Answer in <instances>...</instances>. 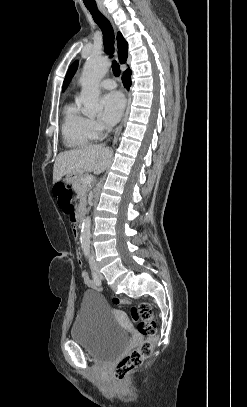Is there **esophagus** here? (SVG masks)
I'll use <instances>...</instances> for the list:
<instances>
[{"label":"esophagus","instance_id":"1","mask_svg":"<svg viewBox=\"0 0 247 407\" xmlns=\"http://www.w3.org/2000/svg\"><path fill=\"white\" fill-rule=\"evenodd\" d=\"M100 10H101V12L106 16V18H108V20L111 22V24L113 25V21H112L110 15L108 14V12H107L103 7H100ZM113 27H114V25H113ZM116 57H117V52H116ZM129 104H130V96L128 95V96H127V108H126V111H125V113H124V116H123V118H122V120H121V123L119 124V126L117 127V129H116V131H115V135H114V139H113V144L116 143L117 138H118V135H119V133H120V131H121V129H122V126H123V124H124V122H125Z\"/></svg>","mask_w":247,"mask_h":407}]
</instances>
